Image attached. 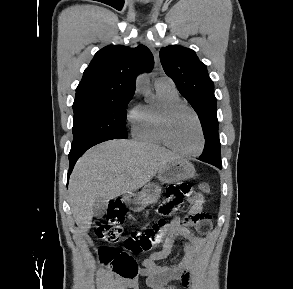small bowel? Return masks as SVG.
Returning a JSON list of instances; mask_svg holds the SVG:
<instances>
[{
  "label": "small bowel",
  "instance_id": "obj_1",
  "mask_svg": "<svg viewBox=\"0 0 293 289\" xmlns=\"http://www.w3.org/2000/svg\"><path fill=\"white\" fill-rule=\"evenodd\" d=\"M189 201L191 207L185 224L181 223L180 217H175L167 224L157 243L162 244V248L151 252L142 262L138 275L145 280L148 289H167V286L174 281L180 282L185 289H190L196 260L205 247L202 235L209 233L211 225L208 216L202 213L204 197L194 193ZM194 226L198 227L200 235L193 232ZM175 243L183 245L185 251L183 259L174 265H158V261L166 259L171 254ZM122 287L139 289L137 279L123 282Z\"/></svg>",
  "mask_w": 293,
  "mask_h": 289
}]
</instances>
